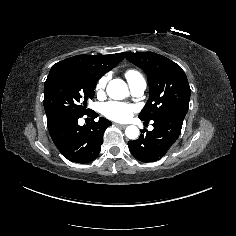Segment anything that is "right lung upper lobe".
Masks as SVG:
<instances>
[{"mask_svg": "<svg viewBox=\"0 0 236 236\" xmlns=\"http://www.w3.org/2000/svg\"><path fill=\"white\" fill-rule=\"evenodd\" d=\"M124 59V53L111 55H77L63 60L66 63L86 64L95 67L102 76Z\"/></svg>", "mask_w": 236, "mask_h": 236, "instance_id": "1", "label": "right lung upper lobe"}]
</instances>
